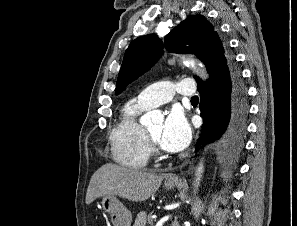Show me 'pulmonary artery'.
I'll return each instance as SVG.
<instances>
[{
  "mask_svg": "<svg viewBox=\"0 0 297 226\" xmlns=\"http://www.w3.org/2000/svg\"><path fill=\"white\" fill-rule=\"evenodd\" d=\"M194 91L195 83L192 78H185L179 82L161 81L143 89L138 99L148 108H153L170 102L176 93L192 97Z\"/></svg>",
  "mask_w": 297,
  "mask_h": 226,
  "instance_id": "pulmonary-artery-1",
  "label": "pulmonary artery"
}]
</instances>
